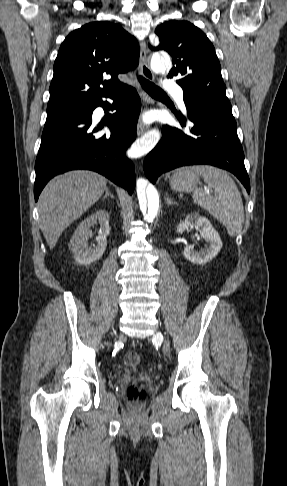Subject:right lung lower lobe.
Wrapping results in <instances>:
<instances>
[{
	"label": "right lung lower lobe",
	"instance_id": "right-lung-lower-lobe-1",
	"mask_svg": "<svg viewBox=\"0 0 287 486\" xmlns=\"http://www.w3.org/2000/svg\"><path fill=\"white\" fill-rule=\"evenodd\" d=\"M103 97L115 101L116 113L105 123L111 129L110 134L97 135L104 122L97 126L92 123L96 107H111L102 97L84 105L79 114L45 123L35 163V201L52 177L74 169L96 171L130 194L134 191V166L124 154L136 138L141 101L130 86Z\"/></svg>",
	"mask_w": 287,
	"mask_h": 486
}]
</instances>
